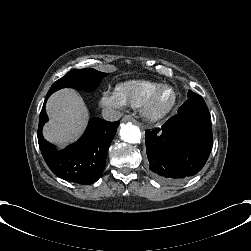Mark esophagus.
Here are the masks:
<instances>
[{"label":"esophagus","instance_id":"34e87169","mask_svg":"<svg viewBox=\"0 0 251 251\" xmlns=\"http://www.w3.org/2000/svg\"><path fill=\"white\" fill-rule=\"evenodd\" d=\"M122 122H136L135 118L131 115H125L123 118H122Z\"/></svg>","mask_w":251,"mask_h":251}]
</instances>
